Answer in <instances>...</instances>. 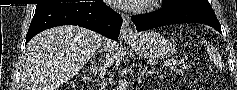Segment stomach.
Returning <instances> with one entry per match:
<instances>
[{"mask_svg": "<svg viewBox=\"0 0 237 90\" xmlns=\"http://www.w3.org/2000/svg\"><path fill=\"white\" fill-rule=\"evenodd\" d=\"M129 46L140 56L148 58H166L175 53L172 43L162 37L159 33L149 31L143 32Z\"/></svg>", "mask_w": 237, "mask_h": 90, "instance_id": "obj_1", "label": "stomach"}]
</instances>
